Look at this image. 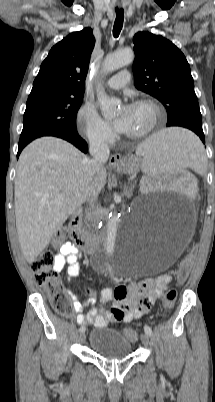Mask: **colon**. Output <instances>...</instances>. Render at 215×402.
<instances>
[{
	"instance_id": "5ec220e1",
	"label": "colon",
	"mask_w": 215,
	"mask_h": 402,
	"mask_svg": "<svg viewBox=\"0 0 215 402\" xmlns=\"http://www.w3.org/2000/svg\"><path fill=\"white\" fill-rule=\"evenodd\" d=\"M64 238V233L58 231L53 238L51 245L58 246ZM198 259L197 251H186L185 259L180 264L177 271L179 281L185 280L187 277L191 260ZM55 255L52 250L48 249L42 252L32 263V270L36 281L47 290L50 302L54 310L59 314H67L69 310L68 298L62 289L58 279V272L54 268ZM177 297V292L173 289L166 291L163 297V306L169 309L173 306ZM124 336L130 340L137 339V332L133 328H126L123 331Z\"/></svg>"
}]
</instances>
